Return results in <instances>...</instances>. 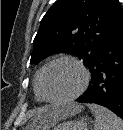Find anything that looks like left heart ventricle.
Returning <instances> with one entry per match:
<instances>
[{"label": "left heart ventricle", "mask_w": 123, "mask_h": 130, "mask_svg": "<svg viewBox=\"0 0 123 130\" xmlns=\"http://www.w3.org/2000/svg\"><path fill=\"white\" fill-rule=\"evenodd\" d=\"M83 74L72 62L53 64L45 75V90L49 97L62 99L73 95L81 86Z\"/></svg>", "instance_id": "b2bd125f"}]
</instances>
